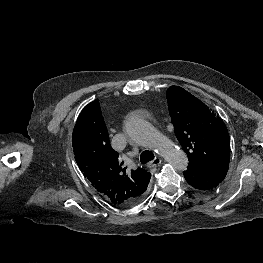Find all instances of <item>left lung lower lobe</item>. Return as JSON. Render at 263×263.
Instances as JSON below:
<instances>
[{
    "label": "left lung lower lobe",
    "instance_id": "0a47b994",
    "mask_svg": "<svg viewBox=\"0 0 263 263\" xmlns=\"http://www.w3.org/2000/svg\"><path fill=\"white\" fill-rule=\"evenodd\" d=\"M228 171V167L219 166L215 168H200L188 166L184 171L186 181L194 188L210 190L221 183Z\"/></svg>",
    "mask_w": 263,
    "mask_h": 263
}]
</instances>
